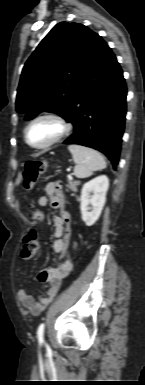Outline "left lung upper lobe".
Returning a JSON list of instances; mask_svg holds the SVG:
<instances>
[{
    "label": "left lung upper lobe",
    "mask_w": 145,
    "mask_h": 385,
    "mask_svg": "<svg viewBox=\"0 0 145 385\" xmlns=\"http://www.w3.org/2000/svg\"><path fill=\"white\" fill-rule=\"evenodd\" d=\"M97 36L79 23L57 24L25 63L16 111L30 120L49 109L69 121Z\"/></svg>",
    "instance_id": "5c2ea615"
}]
</instances>
